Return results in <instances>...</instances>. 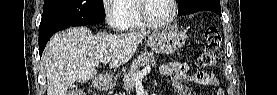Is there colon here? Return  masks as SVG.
Segmentation results:
<instances>
[{
    "mask_svg": "<svg viewBox=\"0 0 277 95\" xmlns=\"http://www.w3.org/2000/svg\"><path fill=\"white\" fill-rule=\"evenodd\" d=\"M205 47L197 58V65L203 69L213 67L222 57V36L217 28H207L204 32ZM85 92L77 87H70L68 95H84Z\"/></svg>",
    "mask_w": 277,
    "mask_h": 95,
    "instance_id": "obj_1",
    "label": "colon"
}]
</instances>
